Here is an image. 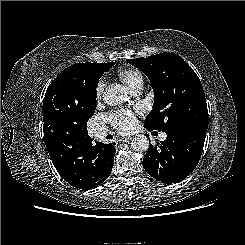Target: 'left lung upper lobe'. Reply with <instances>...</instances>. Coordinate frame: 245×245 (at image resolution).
Returning a JSON list of instances; mask_svg holds the SVG:
<instances>
[{
  "label": "left lung upper lobe",
  "mask_w": 245,
  "mask_h": 245,
  "mask_svg": "<svg viewBox=\"0 0 245 245\" xmlns=\"http://www.w3.org/2000/svg\"><path fill=\"white\" fill-rule=\"evenodd\" d=\"M152 83L155 102L145 126L174 133L192 126H208V110L200 80L176 54L162 53L127 60Z\"/></svg>",
  "instance_id": "5c2ea615"
}]
</instances>
